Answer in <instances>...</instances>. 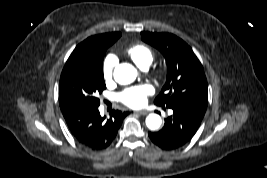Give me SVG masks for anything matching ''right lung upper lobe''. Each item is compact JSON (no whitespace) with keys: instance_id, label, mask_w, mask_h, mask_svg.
Masks as SVG:
<instances>
[{"instance_id":"cb5924a9","label":"right lung upper lobe","mask_w":267,"mask_h":178,"mask_svg":"<svg viewBox=\"0 0 267 178\" xmlns=\"http://www.w3.org/2000/svg\"><path fill=\"white\" fill-rule=\"evenodd\" d=\"M121 36L120 32L105 33L100 35H95L87 38L85 41L81 42L72 52L70 57H74L82 53L89 45L96 47L97 44L106 40H117ZM69 57V58H70Z\"/></svg>"}]
</instances>
